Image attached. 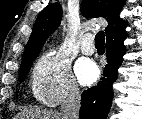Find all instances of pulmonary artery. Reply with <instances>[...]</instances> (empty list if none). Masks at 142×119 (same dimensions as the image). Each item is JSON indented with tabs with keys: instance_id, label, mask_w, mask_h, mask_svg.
<instances>
[{
	"instance_id": "pulmonary-artery-1",
	"label": "pulmonary artery",
	"mask_w": 142,
	"mask_h": 119,
	"mask_svg": "<svg viewBox=\"0 0 142 119\" xmlns=\"http://www.w3.org/2000/svg\"><path fill=\"white\" fill-rule=\"evenodd\" d=\"M80 49L81 52L85 55H92L95 52L92 35L87 34L86 36H84Z\"/></svg>"
}]
</instances>
